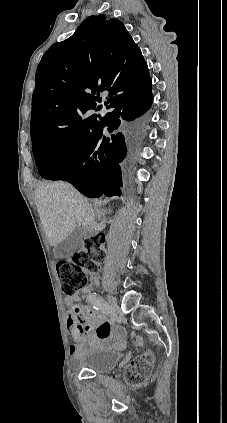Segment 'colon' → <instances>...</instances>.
<instances>
[{"label": "colon", "instance_id": "5ec220e1", "mask_svg": "<svg viewBox=\"0 0 227 423\" xmlns=\"http://www.w3.org/2000/svg\"><path fill=\"white\" fill-rule=\"evenodd\" d=\"M105 237L102 233L88 237L84 241L85 252L76 254L72 261L60 260L57 273L61 280L62 292L72 296L86 283V272L94 271L103 260L102 245ZM77 306V305H74ZM134 342L140 344V339ZM150 370L148 355L134 359L128 368L127 378L130 384L141 386L146 382Z\"/></svg>", "mask_w": 227, "mask_h": 423}]
</instances>
